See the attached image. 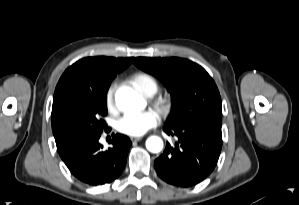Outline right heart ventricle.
Masks as SVG:
<instances>
[{
  "label": "right heart ventricle",
  "mask_w": 299,
  "mask_h": 205,
  "mask_svg": "<svg viewBox=\"0 0 299 205\" xmlns=\"http://www.w3.org/2000/svg\"><path fill=\"white\" fill-rule=\"evenodd\" d=\"M131 83L142 94L151 96L158 90V83L147 73H136L131 77Z\"/></svg>",
  "instance_id": "e07e8e85"
}]
</instances>
